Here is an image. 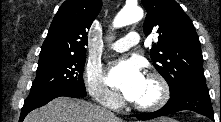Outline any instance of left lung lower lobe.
Returning <instances> with one entry per match:
<instances>
[{"instance_id": "left-lung-lower-lobe-1", "label": "left lung lower lobe", "mask_w": 221, "mask_h": 122, "mask_svg": "<svg viewBox=\"0 0 221 122\" xmlns=\"http://www.w3.org/2000/svg\"><path fill=\"white\" fill-rule=\"evenodd\" d=\"M182 110H191L214 120L207 86L198 84L186 85L176 94H170L168 103L158 111L140 114L136 117L140 120H148Z\"/></svg>"}]
</instances>
